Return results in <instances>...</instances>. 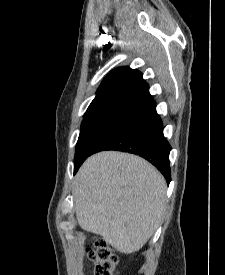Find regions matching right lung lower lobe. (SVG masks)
I'll return each mask as SVG.
<instances>
[{
  "instance_id": "98d812e1",
  "label": "right lung lower lobe",
  "mask_w": 225,
  "mask_h": 275,
  "mask_svg": "<svg viewBox=\"0 0 225 275\" xmlns=\"http://www.w3.org/2000/svg\"><path fill=\"white\" fill-rule=\"evenodd\" d=\"M102 150H118L139 155L171 181V146L163 135V125L153 104L125 117L95 146L90 155ZM89 155V156H90Z\"/></svg>"
}]
</instances>
